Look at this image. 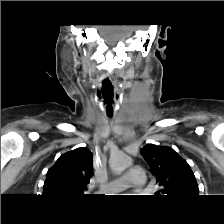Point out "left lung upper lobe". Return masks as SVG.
<instances>
[{
    "label": "left lung upper lobe",
    "mask_w": 224,
    "mask_h": 224,
    "mask_svg": "<svg viewBox=\"0 0 224 224\" xmlns=\"http://www.w3.org/2000/svg\"><path fill=\"white\" fill-rule=\"evenodd\" d=\"M157 178L160 190L157 194L169 198L195 197L199 189L188 163L172 148L147 144L140 150Z\"/></svg>",
    "instance_id": "left-lung-upper-lobe-1"
}]
</instances>
